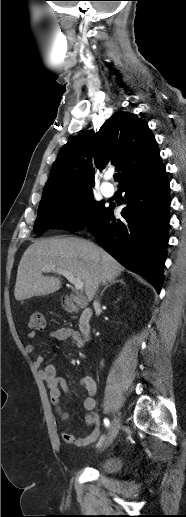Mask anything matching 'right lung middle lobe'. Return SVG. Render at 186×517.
<instances>
[{
  "instance_id": "obj_1",
  "label": "right lung middle lobe",
  "mask_w": 186,
  "mask_h": 517,
  "mask_svg": "<svg viewBox=\"0 0 186 517\" xmlns=\"http://www.w3.org/2000/svg\"><path fill=\"white\" fill-rule=\"evenodd\" d=\"M105 209L104 202H94L92 191L85 190L41 200L34 232L41 235L48 228L79 231Z\"/></svg>"
}]
</instances>
